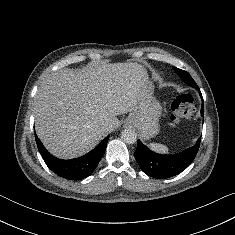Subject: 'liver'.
<instances>
[{
  "instance_id": "liver-1",
  "label": "liver",
  "mask_w": 235,
  "mask_h": 235,
  "mask_svg": "<svg viewBox=\"0 0 235 235\" xmlns=\"http://www.w3.org/2000/svg\"><path fill=\"white\" fill-rule=\"evenodd\" d=\"M146 79V70L133 62L65 68L49 75L34 100L38 137L56 157L84 155L119 126L116 116L135 109ZM102 123H107L105 129Z\"/></svg>"
}]
</instances>
